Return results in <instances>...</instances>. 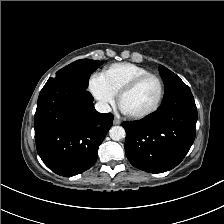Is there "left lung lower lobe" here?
<instances>
[{
    "instance_id": "left-lung-lower-lobe-1",
    "label": "left lung lower lobe",
    "mask_w": 224,
    "mask_h": 224,
    "mask_svg": "<svg viewBox=\"0 0 224 224\" xmlns=\"http://www.w3.org/2000/svg\"><path fill=\"white\" fill-rule=\"evenodd\" d=\"M196 122L197 108L190 89L163 100L157 111L141 120L123 122L128 160L150 173L174 168L194 142Z\"/></svg>"
}]
</instances>
